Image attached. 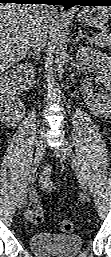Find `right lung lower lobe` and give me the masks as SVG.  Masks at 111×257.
<instances>
[{
	"mask_svg": "<svg viewBox=\"0 0 111 257\" xmlns=\"http://www.w3.org/2000/svg\"><path fill=\"white\" fill-rule=\"evenodd\" d=\"M0 3L49 4V5H55L54 0H0Z\"/></svg>",
	"mask_w": 111,
	"mask_h": 257,
	"instance_id": "right-lung-lower-lobe-1",
	"label": "right lung lower lobe"
}]
</instances>
